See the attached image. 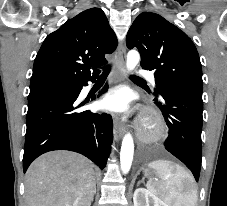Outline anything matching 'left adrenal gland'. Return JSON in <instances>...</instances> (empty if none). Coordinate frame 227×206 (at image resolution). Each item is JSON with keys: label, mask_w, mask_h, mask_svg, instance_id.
I'll use <instances>...</instances> for the list:
<instances>
[{"label": "left adrenal gland", "mask_w": 227, "mask_h": 206, "mask_svg": "<svg viewBox=\"0 0 227 206\" xmlns=\"http://www.w3.org/2000/svg\"><path fill=\"white\" fill-rule=\"evenodd\" d=\"M140 183H144V178H142L141 181H138L137 186L140 185Z\"/></svg>", "instance_id": "obj_1"}]
</instances>
